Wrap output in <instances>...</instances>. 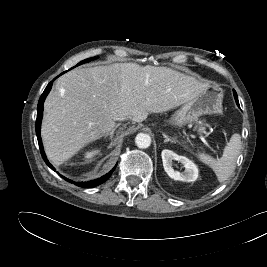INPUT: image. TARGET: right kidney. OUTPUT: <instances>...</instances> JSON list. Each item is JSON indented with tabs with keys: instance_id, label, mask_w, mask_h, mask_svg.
<instances>
[{
	"instance_id": "right-kidney-1",
	"label": "right kidney",
	"mask_w": 267,
	"mask_h": 267,
	"mask_svg": "<svg viewBox=\"0 0 267 267\" xmlns=\"http://www.w3.org/2000/svg\"><path fill=\"white\" fill-rule=\"evenodd\" d=\"M100 153L99 149L92 150L90 152H86L85 158H92L93 156L97 155Z\"/></svg>"
}]
</instances>
